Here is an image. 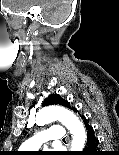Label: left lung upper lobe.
Masks as SVG:
<instances>
[{
    "instance_id": "5c2ea615",
    "label": "left lung upper lobe",
    "mask_w": 119,
    "mask_h": 155,
    "mask_svg": "<svg viewBox=\"0 0 119 155\" xmlns=\"http://www.w3.org/2000/svg\"><path fill=\"white\" fill-rule=\"evenodd\" d=\"M45 105H62L68 107L69 109H73L67 100H63L59 97L58 94L50 95L45 101L43 102V106Z\"/></svg>"
}]
</instances>
